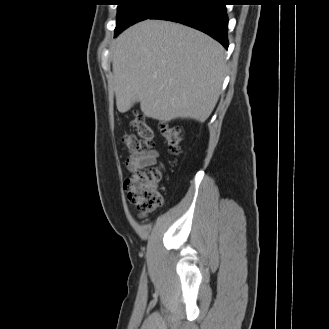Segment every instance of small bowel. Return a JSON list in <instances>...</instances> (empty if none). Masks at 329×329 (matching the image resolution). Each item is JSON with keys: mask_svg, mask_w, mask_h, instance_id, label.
Wrapping results in <instances>:
<instances>
[{"mask_svg": "<svg viewBox=\"0 0 329 329\" xmlns=\"http://www.w3.org/2000/svg\"><path fill=\"white\" fill-rule=\"evenodd\" d=\"M157 158H158V152L153 149L133 153L130 156H128L126 160L127 170L129 172H133L137 169L152 166L156 163ZM149 213L150 212H142L139 210L138 217L141 219H146Z\"/></svg>", "mask_w": 329, "mask_h": 329, "instance_id": "c3829d8e", "label": "small bowel"}]
</instances>
